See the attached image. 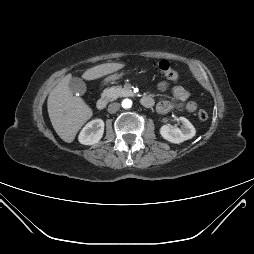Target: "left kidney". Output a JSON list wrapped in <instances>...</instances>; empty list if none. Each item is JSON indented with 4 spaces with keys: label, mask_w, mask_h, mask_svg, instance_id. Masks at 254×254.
Listing matches in <instances>:
<instances>
[{
    "label": "left kidney",
    "mask_w": 254,
    "mask_h": 254,
    "mask_svg": "<svg viewBox=\"0 0 254 254\" xmlns=\"http://www.w3.org/2000/svg\"><path fill=\"white\" fill-rule=\"evenodd\" d=\"M179 121L182 124L180 128L169 124L160 128V134L165 140L179 144L195 136L196 130L188 119L180 117Z\"/></svg>",
    "instance_id": "5707ae66"
}]
</instances>
